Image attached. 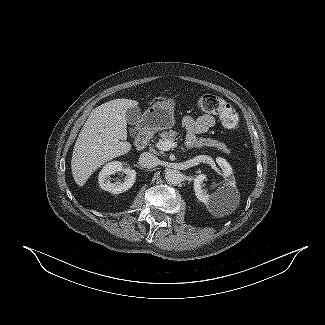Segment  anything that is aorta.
Returning a JSON list of instances; mask_svg holds the SVG:
<instances>
[{
	"mask_svg": "<svg viewBox=\"0 0 325 325\" xmlns=\"http://www.w3.org/2000/svg\"><path fill=\"white\" fill-rule=\"evenodd\" d=\"M165 180L171 185H178L183 180V174L174 169H169L165 172Z\"/></svg>",
	"mask_w": 325,
	"mask_h": 325,
	"instance_id": "1",
	"label": "aorta"
}]
</instances>
